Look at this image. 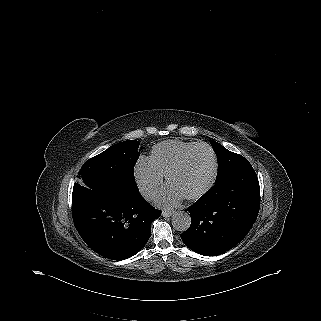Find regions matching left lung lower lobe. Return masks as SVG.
Instances as JSON below:
<instances>
[{
  "mask_svg": "<svg viewBox=\"0 0 321 321\" xmlns=\"http://www.w3.org/2000/svg\"><path fill=\"white\" fill-rule=\"evenodd\" d=\"M259 206L260 187L252 166L233 170L187 208L192 223L181 238L198 254L220 255L248 234Z\"/></svg>",
  "mask_w": 321,
  "mask_h": 321,
  "instance_id": "1",
  "label": "left lung lower lobe"
}]
</instances>
